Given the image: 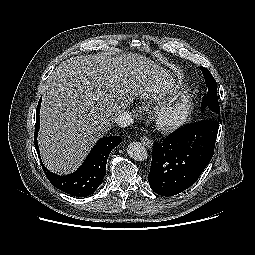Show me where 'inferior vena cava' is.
I'll return each instance as SVG.
<instances>
[{"instance_id": "obj_1", "label": "inferior vena cava", "mask_w": 255, "mask_h": 255, "mask_svg": "<svg viewBox=\"0 0 255 255\" xmlns=\"http://www.w3.org/2000/svg\"><path fill=\"white\" fill-rule=\"evenodd\" d=\"M114 121L120 126V127H127L131 124H133V119L131 117V114L127 111L120 112L114 119Z\"/></svg>"}]
</instances>
